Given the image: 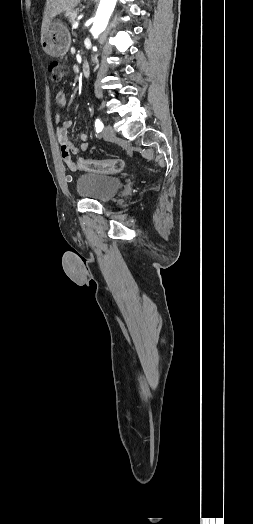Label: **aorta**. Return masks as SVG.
Masks as SVG:
<instances>
[{
    "mask_svg": "<svg viewBox=\"0 0 253 524\" xmlns=\"http://www.w3.org/2000/svg\"><path fill=\"white\" fill-rule=\"evenodd\" d=\"M116 2L117 0H100L94 23L91 28V33L94 38H97L106 29Z\"/></svg>",
    "mask_w": 253,
    "mask_h": 524,
    "instance_id": "obj_1",
    "label": "aorta"
}]
</instances>
